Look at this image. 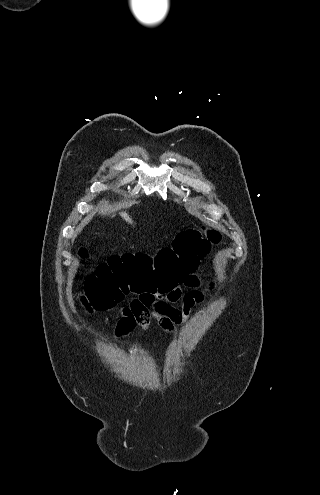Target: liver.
<instances>
[{
    "label": "liver",
    "mask_w": 320,
    "mask_h": 495,
    "mask_svg": "<svg viewBox=\"0 0 320 495\" xmlns=\"http://www.w3.org/2000/svg\"><path fill=\"white\" fill-rule=\"evenodd\" d=\"M120 216L124 221H126L128 224H133V220L130 218L129 214L127 212H121Z\"/></svg>",
    "instance_id": "obj_1"
}]
</instances>
